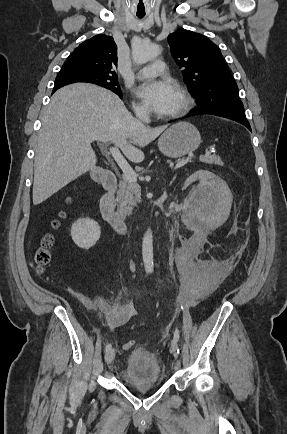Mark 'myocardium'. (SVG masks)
Returning <instances> with one entry per match:
<instances>
[{"instance_id":"obj_1","label":"myocardium","mask_w":287,"mask_h":434,"mask_svg":"<svg viewBox=\"0 0 287 434\" xmlns=\"http://www.w3.org/2000/svg\"><path fill=\"white\" fill-rule=\"evenodd\" d=\"M178 93L181 97L182 104L178 110L172 113H168L166 115L167 118H171V119L180 118L184 116L191 109L193 101L189 92L184 87L178 86Z\"/></svg>"}]
</instances>
